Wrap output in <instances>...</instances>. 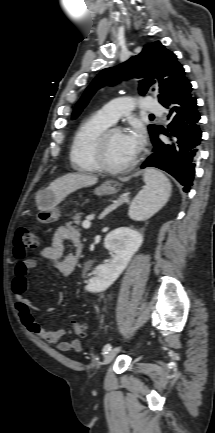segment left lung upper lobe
<instances>
[{"label": "left lung upper lobe", "mask_w": 215, "mask_h": 433, "mask_svg": "<svg viewBox=\"0 0 215 433\" xmlns=\"http://www.w3.org/2000/svg\"><path fill=\"white\" fill-rule=\"evenodd\" d=\"M128 78H145L139 86L141 94L146 93L148 87L157 80L161 93L158 98L162 103L172 89L185 78V72L177 61L176 55L167 50L159 41L147 44L139 55L117 67L102 70L77 103L72 119L77 118L99 88L104 85H114ZM148 128L151 137L158 131L156 125H149Z\"/></svg>", "instance_id": "obj_1"}]
</instances>
